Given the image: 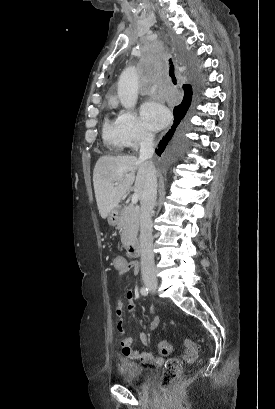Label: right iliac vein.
<instances>
[{
    "instance_id": "1",
    "label": "right iliac vein",
    "mask_w": 275,
    "mask_h": 409,
    "mask_svg": "<svg viewBox=\"0 0 275 409\" xmlns=\"http://www.w3.org/2000/svg\"><path fill=\"white\" fill-rule=\"evenodd\" d=\"M145 285L148 289H150L151 291L155 292L157 289V283L155 282H150V281H146Z\"/></svg>"
}]
</instances>
